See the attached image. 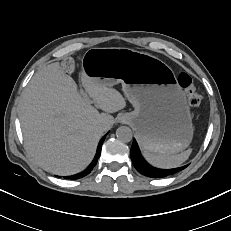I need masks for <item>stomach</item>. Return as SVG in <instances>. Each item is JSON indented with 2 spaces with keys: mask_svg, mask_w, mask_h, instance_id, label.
<instances>
[{
  "mask_svg": "<svg viewBox=\"0 0 231 231\" xmlns=\"http://www.w3.org/2000/svg\"><path fill=\"white\" fill-rule=\"evenodd\" d=\"M83 70L108 86L122 84L134 111L120 121L132 126L143 150L175 155L189 146L193 124L187 98L163 61L128 48H94L85 53Z\"/></svg>",
  "mask_w": 231,
  "mask_h": 231,
  "instance_id": "obj_1",
  "label": "stomach"
}]
</instances>
